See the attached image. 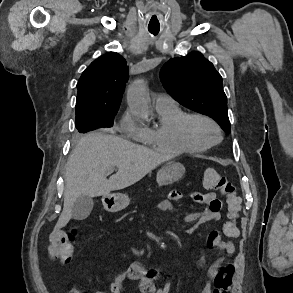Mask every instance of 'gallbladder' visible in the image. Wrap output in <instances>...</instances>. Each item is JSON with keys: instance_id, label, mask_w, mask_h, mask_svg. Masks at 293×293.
<instances>
[{"instance_id": "obj_1", "label": "gallbladder", "mask_w": 293, "mask_h": 293, "mask_svg": "<svg viewBox=\"0 0 293 293\" xmlns=\"http://www.w3.org/2000/svg\"><path fill=\"white\" fill-rule=\"evenodd\" d=\"M94 206V201L91 197L80 196L75 201L72 207V217L75 220H84L86 219Z\"/></svg>"}]
</instances>
